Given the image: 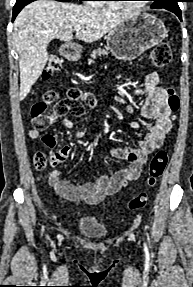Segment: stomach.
Returning <instances> with one entry per match:
<instances>
[{
	"instance_id": "obj_1",
	"label": "stomach",
	"mask_w": 193,
	"mask_h": 287,
	"mask_svg": "<svg viewBox=\"0 0 193 287\" xmlns=\"http://www.w3.org/2000/svg\"><path fill=\"white\" fill-rule=\"evenodd\" d=\"M167 35L164 23L157 17L146 13H135L106 37V48L121 61H132L143 52L161 43ZM74 58L76 53H67Z\"/></svg>"
}]
</instances>
